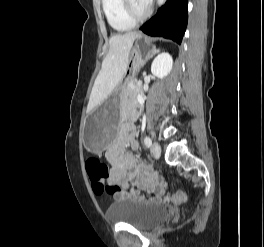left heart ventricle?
<instances>
[{"label": "left heart ventricle", "mask_w": 264, "mask_h": 247, "mask_svg": "<svg viewBox=\"0 0 264 247\" xmlns=\"http://www.w3.org/2000/svg\"><path fill=\"white\" fill-rule=\"evenodd\" d=\"M133 7L138 14L143 13L147 6L140 2V0H132Z\"/></svg>", "instance_id": "left-heart-ventricle-1"}]
</instances>
